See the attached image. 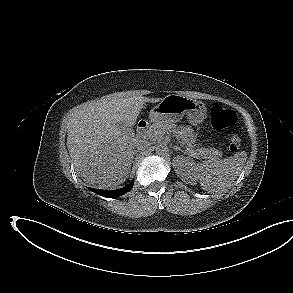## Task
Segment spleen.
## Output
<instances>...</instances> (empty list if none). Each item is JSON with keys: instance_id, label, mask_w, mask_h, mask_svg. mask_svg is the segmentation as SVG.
Returning <instances> with one entry per match:
<instances>
[{"instance_id": "obj_1", "label": "spleen", "mask_w": 293, "mask_h": 293, "mask_svg": "<svg viewBox=\"0 0 293 293\" xmlns=\"http://www.w3.org/2000/svg\"><path fill=\"white\" fill-rule=\"evenodd\" d=\"M246 159L247 153L241 151L225 159L204 161L198 165L195 176L200 181L203 190L217 192L234 182Z\"/></svg>"}]
</instances>
